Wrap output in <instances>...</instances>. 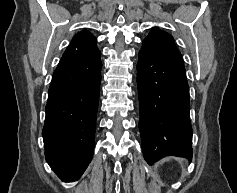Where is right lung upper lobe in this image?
<instances>
[{
  "label": "right lung upper lobe",
  "mask_w": 237,
  "mask_h": 193,
  "mask_svg": "<svg viewBox=\"0 0 237 193\" xmlns=\"http://www.w3.org/2000/svg\"><path fill=\"white\" fill-rule=\"evenodd\" d=\"M97 39L88 31H81L77 33L66 51L71 53H97L96 47Z\"/></svg>",
  "instance_id": "cb5924a9"
}]
</instances>
